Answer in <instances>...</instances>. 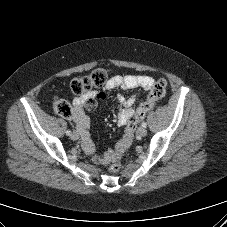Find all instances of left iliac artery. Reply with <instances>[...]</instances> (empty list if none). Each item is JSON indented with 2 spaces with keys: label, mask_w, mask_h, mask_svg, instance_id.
I'll use <instances>...</instances> for the list:
<instances>
[{
  "label": "left iliac artery",
  "mask_w": 227,
  "mask_h": 227,
  "mask_svg": "<svg viewBox=\"0 0 227 227\" xmlns=\"http://www.w3.org/2000/svg\"><path fill=\"white\" fill-rule=\"evenodd\" d=\"M141 126L144 127V128H146V127H147V123H146V122H143V123L141 124Z\"/></svg>",
  "instance_id": "1"
}]
</instances>
